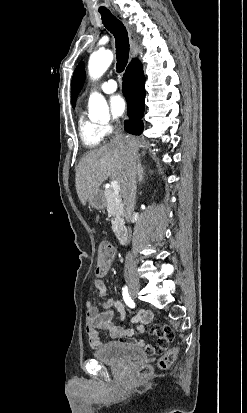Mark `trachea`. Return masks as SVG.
<instances>
[{"label":"trachea","instance_id":"3493384b","mask_svg":"<svg viewBox=\"0 0 247 413\" xmlns=\"http://www.w3.org/2000/svg\"><path fill=\"white\" fill-rule=\"evenodd\" d=\"M104 26L113 33L116 41V58L117 72H123L129 56V40L128 33L123 23L118 20L112 13L100 11Z\"/></svg>","mask_w":247,"mask_h":413}]
</instances>
